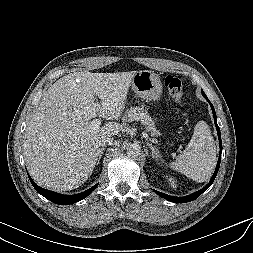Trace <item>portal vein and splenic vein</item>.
Returning a JSON list of instances; mask_svg holds the SVG:
<instances>
[{
    "mask_svg": "<svg viewBox=\"0 0 253 253\" xmlns=\"http://www.w3.org/2000/svg\"><path fill=\"white\" fill-rule=\"evenodd\" d=\"M101 125V120L100 119H94L91 121V126L93 129H99Z\"/></svg>",
    "mask_w": 253,
    "mask_h": 253,
    "instance_id": "1",
    "label": "portal vein and splenic vein"
}]
</instances>
